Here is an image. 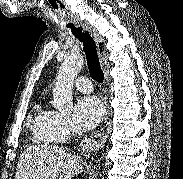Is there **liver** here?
Wrapping results in <instances>:
<instances>
[{"label": "liver", "instance_id": "obj_1", "mask_svg": "<svg viewBox=\"0 0 183 179\" xmlns=\"http://www.w3.org/2000/svg\"><path fill=\"white\" fill-rule=\"evenodd\" d=\"M81 171L79 157L67 154L63 147L34 145L21 154L15 179H72Z\"/></svg>", "mask_w": 183, "mask_h": 179}]
</instances>
